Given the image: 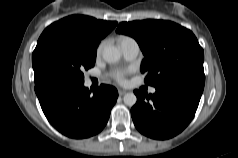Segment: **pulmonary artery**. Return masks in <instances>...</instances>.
Wrapping results in <instances>:
<instances>
[{
	"label": "pulmonary artery",
	"instance_id": "obj_1",
	"mask_svg": "<svg viewBox=\"0 0 238 158\" xmlns=\"http://www.w3.org/2000/svg\"><path fill=\"white\" fill-rule=\"evenodd\" d=\"M120 48H121L124 58L128 61L134 60L139 54V45L132 38H127V39L121 41ZM155 92H156L155 88L150 89V93L154 94Z\"/></svg>",
	"mask_w": 238,
	"mask_h": 158
}]
</instances>
